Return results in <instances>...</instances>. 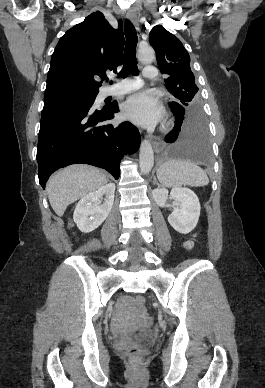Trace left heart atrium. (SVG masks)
Returning a JSON list of instances; mask_svg holds the SVG:
<instances>
[{"instance_id":"left-heart-atrium-1","label":"left heart atrium","mask_w":265,"mask_h":388,"mask_svg":"<svg viewBox=\"0 0 265 388\" xmlns=\"http://www.w3.org/2000/svg\"><path fill=\"white\" fill-rule=\"evenodd\" d=\"M123 112L127 118L142 124H153L164 115L158 99L144 91L132 95L124 104Z\"/></svg>"}]
</instances>
